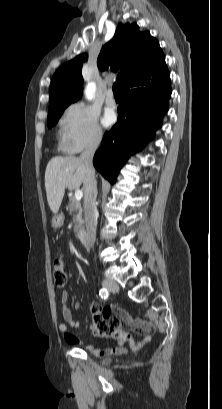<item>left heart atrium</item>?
I'll return each mask as SVG.
<instances>
[{
	"mask_svg": "<svg viewBox=\"0 0 222 409\" xmlns=\"http://www.w3.org/2000/svg\"><path fill=\"white\" fill-rule=\"evenodd\" d=\"M115 121V115L112 112H107L105 113L104 117H103V124L105 126H109L111 124H113Z\"/></svg>",
	"mask_w": 222,
	"mask_h": 409,
	"instance_id": "obj_1",
	"label": "left heart atrium"
}]
</instances>
